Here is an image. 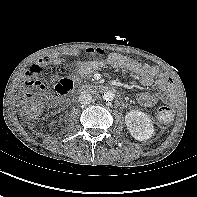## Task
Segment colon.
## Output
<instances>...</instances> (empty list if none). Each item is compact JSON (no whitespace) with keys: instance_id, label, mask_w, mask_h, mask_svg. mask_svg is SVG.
<instances>
[{"instance_id":"obj_1","label":"colon","mask_w":197,"mask_h":197,"mask_svg":"<svg viewBox=\"0 0 197 197\" xmlns=\"http://www.w3.org/2000/svg\"><path fill=\"white\" fill-rule=\"evenodd\" d=\"M34 93H29L25 100L24 107L28 115L36 116L41 108V95L44 90V84L38 80L29 83ZM74 87V81L70 78H63L55 86V98L52 99V104H56L59 100L69 93ZM158 118L163 123H168L173 118V111L168 106H161L158 110Z\"/></svg>"}]
</instances>
